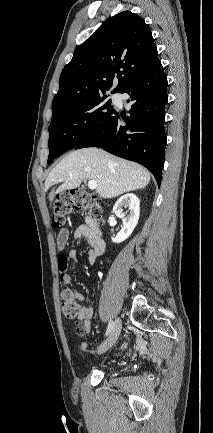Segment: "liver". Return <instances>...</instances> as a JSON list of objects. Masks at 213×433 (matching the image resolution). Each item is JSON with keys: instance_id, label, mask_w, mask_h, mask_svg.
I'll return each instance as SVG.
<instances>
[{"instance_id": "1", "label": "liver", "mask_w": 213, "mask_h": 433, "mask_svg": "<svg viewBox=\"0 0 213 433\" xmlns=\"http://www.w3.org/2000/svg\"><path fill=\"white\" fill-rule=\"evenodd\" d=\"M83 180L96 181V192L101 197L114 198L146 187L150 173L137 163L101 149L84 148L69 153L51 170L45 181V191L62 182L56 191L49 193V200L53 201L55 195L78 187Z\"/></svg>"}]
</instances>
